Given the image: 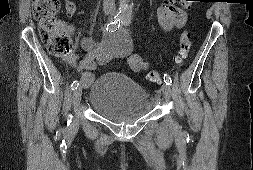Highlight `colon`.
Instances as JSON below:
<instances>
[{"instance_id":"1","label":"colon","mask_w":253,"mask_h":170,"mask_svg":"<svg viewBox=\"0 0 253 170\" xmlns=\"http://www.w3.org/2000/svg\"><path fill=\"white\" fill-rule=\"evenodd\" d=\"M195 0H185L186 3ZM60 9L59 0H33V16L39 26V34L43 43L46 44L51 54L56 57H66L71 51V38L61 28L56 19ZM191 50V33L184 31L180 37V50L176 57V63L182 65ZM149 81L162 82V75L158 71H150L147 74Z\"/></svg>"}]
</instances>
